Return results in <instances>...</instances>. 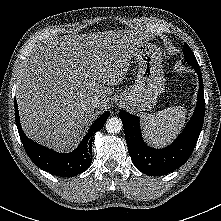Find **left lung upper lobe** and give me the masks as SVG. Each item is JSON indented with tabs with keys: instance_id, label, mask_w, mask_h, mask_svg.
Returning <instances> with one entry per match:
<instances>
[{
	"instance_id": "5c2ea615",
	"label": "left lung upper lobe",
	"mask_w": 221,
	"mask_h": 221,
	"mask_svg": "<svg viewBox=\"0 0 221 221\" xmlns=\"http://www.w3.org/2000/svg\"><path fill=\"white\" fill-rule=\"evenodd\" d=\"M183 53H184V58L189 65H191L193 68H199L198 62L193 52L191 51L190 47L186 43H184Z\"/></svg>"
}]
</instances>
